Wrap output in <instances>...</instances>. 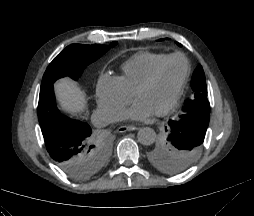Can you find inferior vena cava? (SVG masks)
<instances>
[{"label": "inferior vena cava", "instance_id": "obj_1", "mask_svg": "<svg viewBox=\"0 0 254 216\" xmlns=\"http://www.w3.org/2000/svg\"><path fill=\"white\" fill-rule=\"evenodd\" d=\"M123 119L121 113L112 107L98 106L91 116V121L96 127H104L110 123Z\"/></svg>", "mask_w": 254, "mask_h": 216}]
</instances>
